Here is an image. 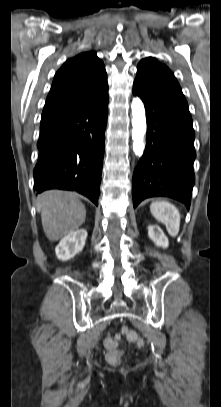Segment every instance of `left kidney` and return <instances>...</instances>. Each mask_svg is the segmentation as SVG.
<instances>
[{
	"mask_svg": "<svg viewBox=\"0 0 221 407\" xmlns=\"http://www.w3.org/2000/svg\"><path fill=\"white\" fill-rule=\"evenodd\" d=\"M149 238L157 245L163 248H167L169 245L168 238L164 234L163 230L158 225L148 226Z\"/></svg>",
	"mask_w": 221,
	"mask_h": 407,
	"instance_id": "obj_1",
	"label": "left kidney"
}]
</instances>
